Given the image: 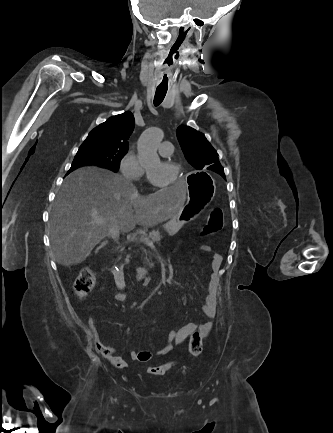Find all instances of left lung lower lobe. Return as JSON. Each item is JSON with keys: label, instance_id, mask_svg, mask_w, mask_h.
Instances as JSON below:
<instances>
[{"label": "left lung lower lobe", "instance_id": "0a47b994", "mask_svg": "<svg viewBox=\"0 0 333 433\" xmlns=\"http://www.w3.org/2000/svg\"><path fill=\"white\" fill-rule=\"evenodd\" d=\"M214 172H215V171H214ZM220 175H221V176H223V177L225 178V175H224V173H221Z\"/></svg>", "mask_w": 333, "mask_h": 433}]
</instances>
